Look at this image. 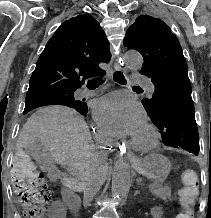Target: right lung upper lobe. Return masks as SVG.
I'll return each mask as SVG.
<instances>
[{
  "instance_id": "1",
  "label": "right lung upper lobe",
  "mask_w": 211,
  "mask_h": 218,
  "mask_svg": "<svg viewBox=\"0 0 211 218\" xmlns=\"http://www.w3.org/2000/svg\"><path fill=\"white\" fill-rule=\"evenodd\" d=\"M110 59L109 42L95 18L90 14L72 17L46 44L31 76L25 102L76 90L86 78L102 74L98 64Z\"/></svg>"
}]
</instances>
